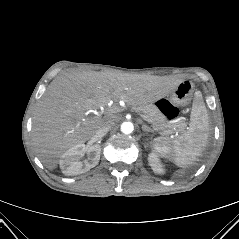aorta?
<instances>
[{"label":"aorta","instance_id":"obj_1","mask_svg":"<svg viewBox=\"0 0 239 239\" xmlns=\"http://www.w3.org/2000/svg\"><path fill=\"white\" fill-rule=\"evenodd\" d=\"M120 130L124 134H131L134 131V125L130 121H125L121 124Z\"/></svg>","mask_w":239,"mask_h":239}]
</instances>
